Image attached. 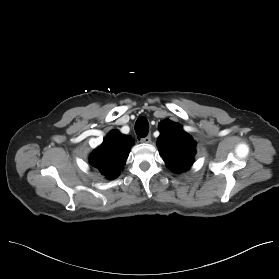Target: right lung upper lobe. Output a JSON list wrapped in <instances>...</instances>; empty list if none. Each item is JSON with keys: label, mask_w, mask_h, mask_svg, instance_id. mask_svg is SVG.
Listing matches in <instances>:
<instances>
[{"label": "right lung upper lobe", "mask_w": 279, "mask_h": 279, "mask_svg": "<svg viewBox=\"0 0 279 279\" xmlns=\"http://www.w3.org/2000/svg\"><path fill=\"white\" fill-rule=\"evenodd\" d=\"M133 144L134 141L130 136L123 135L119 131H111L90 155V164L106 178L114 179L119 176Z\"/></svg>", "instance_id": "obj_1"}]
</instances>
